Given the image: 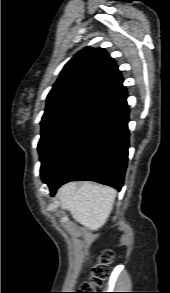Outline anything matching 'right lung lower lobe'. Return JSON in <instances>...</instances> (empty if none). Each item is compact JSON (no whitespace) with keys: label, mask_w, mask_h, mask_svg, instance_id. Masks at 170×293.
<instances>
[{"label":"right lung lower lobe","mask_w":170,"mask_h":293,"mask_svg":"<svg viewBox=\"0 0 170 293\" xmlns=\"http://www.w3.org/2000/svg\"><path fill=\"white\" fill-rule=\"evenodd\" d=\"M129 106L127 101L112 107L90 134L67 157L49 179L51 194L73 180H90L122 188L128 161Z\"/></svg>","instance_id":"1"}]
</instances>
